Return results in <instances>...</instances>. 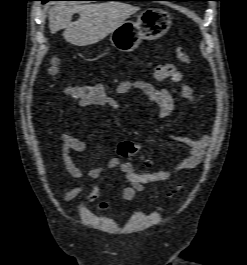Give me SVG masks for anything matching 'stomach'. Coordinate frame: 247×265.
<instances>
[{
    "mask_svg": "<svg viewBox=\"0 0 247 265\" xmlns=\"http://www.w3.org/2000/svg\"><path fill=\"white\" fill-rule=\"evenodd\" d=\"M172 24L167 11L160 8H147L137 21H125L110 34V42L121 52H132L142 40H156L165 35Z\"/></svg>",
    "mask_w": 247,
    "mask_h": 265,
    "instance_id": "obj_1",
    "label": "stomach"
}]
</instances>
